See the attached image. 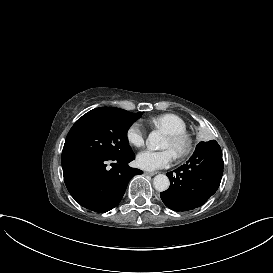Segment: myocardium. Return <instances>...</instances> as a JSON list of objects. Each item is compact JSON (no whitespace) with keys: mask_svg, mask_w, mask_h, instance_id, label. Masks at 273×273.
<instances>
[{"mask_svg":"<svg viewBox=\"0 0 273 273\" xmlns=\"http://www.w3.org/2000/svg\"><path fill=\"white\" fill-rule=\"evenodd\" d=\"M167 137L174 142L178 143V148L174 152L178 159L187 156L193 148V140L186 132L180 133H167Z\"/></svg>","mask_w":273,"mask_h":273,"instance_id":"myocardium-1","label":"myocardium"}]
</instances>
